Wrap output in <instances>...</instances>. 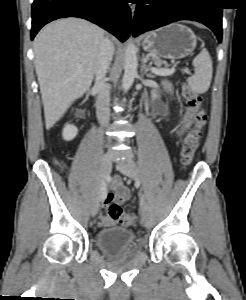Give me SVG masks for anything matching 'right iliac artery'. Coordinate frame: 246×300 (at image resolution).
Masks as SVG:
<instances>
[{"instance_id":"82829eb1","label":"right iliac artery","mask_w":246,"mask_h":300,"mask_svg":"<svg viewBox=\"0 0 246 300\" xmlns=\"http://www.w3.org/2000/svg\"><path fill=\"white\" fill-rule=\"evenodd\" d=\"M100 189H101V200H103L107 193V185L105 181L101 183Z\"/></svg>"}]
</instances>
